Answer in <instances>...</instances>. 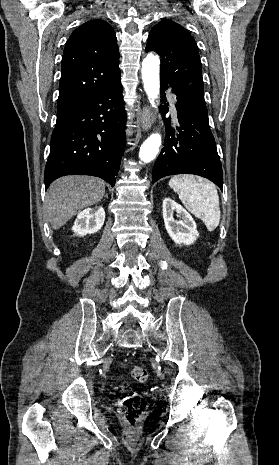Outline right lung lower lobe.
Returning <instances> with one entry per match:
<instances>
[{
    "label": "right lung lower lobe",
    "mask_w": 279,
    "mask_h": 465,
    "mask_svg": "<svg viewBox=\"0 0 279 465\" xmlns=\"http://www.w3.org/2000/svg\"><path fill=\"white\" fill-rule=\"evenodd\" d=\"M121 79L57 123L45 167V189L64 175H92L115 185L126 145Z\"/></svg>",
    "instance_id": "obj_1"
}]
</instances>
